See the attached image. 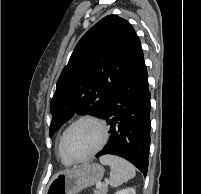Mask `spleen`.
Here are the masks:
<instances>
[{
    "label": "spleen",
    "instance_id": "obj_1",
    "mask_svg": "<svg viewBox=\"0 0 201 194\" xmlns=\"http://www.w3.org/2000/svg\"><path fill=\"white\" fill-rule=\"evenodd\" d=\"M103 165L110 166L109 184L118 187L136 175L135 168L131 163L117 156L104 155L99 159Z\"/></svg>",
    "mask_w": 201,
    "mask_h": 194
}]
</instances>
